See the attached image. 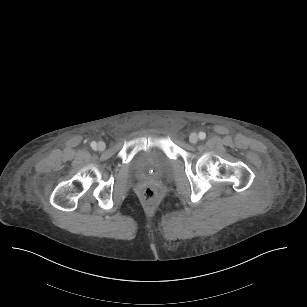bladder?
I'll return each mask as SVG.
<instances>
[{
	"label": "bladder",
	"instance_id": "bladder-1",
	"mask_svg": "<svg viewBox=\"0 0 307 307\" xmlns=\"http://www.w3.org/2000/svg\"><path fill=\"white\" fill-rule=\"evenodd\" d=\"M132 166L138 174L150 171L163 175L171 167V159L160 148L152 147L139 151L132 160Z\"/></svg>",
	"mask_w": 307,
	"mask_h": 307
}]
</instances>
